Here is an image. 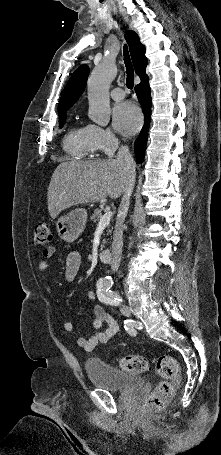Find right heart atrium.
Returning a JSON list of instances; mask_svg holds the SVG:
<instances>
[{"label":"right heart atrium","instance_id":"1","mask_svg":"<svg viewBox=\"0 0 221 455\" xmlns=\"http://www.w3.org/2000/svg\"><path fill=\"white\" fill-rule=\"evenodd\" d=\"M89 136L94 151L112 154L118 147L119 140L114 132L107 127L88 125Z\"/></svg>","mask_w":221,"mask_h":455}]
</instances>
